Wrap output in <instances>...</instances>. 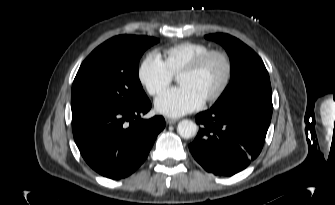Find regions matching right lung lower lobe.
Returning <instances> with one entry per match:
<instances>
[{
  "instance_id": "1",
  "label": "right lung lower lobe",
  "mask_w": 335,
  "mask_h": 205,
  "mask_svg": "<svg viewBox=\"0 0 335 205\" xmlns=\"http://www.w3.org/2000/svg\"><path fill=\"white\" fill-rule=\"evenodd\" d=\"M151 109L148 97L122 107H88L72 111L75 143L87 164L111 179L132 174L146 159L164 129L162 116L142 119Z\"/></svg>"
}]
</instances>
